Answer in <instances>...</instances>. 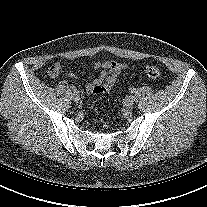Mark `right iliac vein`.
Here are the masks:
<instances>
[{
	"mask_svg": "<svg viewBox=\"0 0 207 207\" xmlns=\"http://www.w3.org/2000/svg\"><path fill=\"white\" fill-rule=\"evenodd\" d=\"M73 99L75 102H79L80 101V94L78 92H74Z\"/></svg>",
	"mask_w": 207,
	"mask_h": 207,
	"instance_id": "right-iliac-vein-1",
	"label": "right iliac vein"
}]
</instances>
